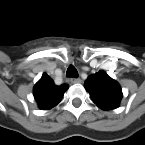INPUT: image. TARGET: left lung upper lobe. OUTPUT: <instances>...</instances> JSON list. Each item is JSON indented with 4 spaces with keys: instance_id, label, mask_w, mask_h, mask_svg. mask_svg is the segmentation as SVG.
Masks as SVG:
<instances>
[{
    "instance_id": "1",
    "label": "left lung upper lobe",
    "mask_w": 145,
    "mask_h": 145,
    "mask_svg": "<svg viewBox=\"0 0 145 145\" xmlns=\"http://www.w3.org/2000/svg\"><path fill=\"white\" fill-rule=\"evenodd\" d=\"M84 87L90 93L93 102L101 109L113 110L119 106L122 89L106 72L99 71L89 76Z\"/></svg>"
}]
</instances>
